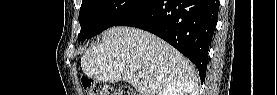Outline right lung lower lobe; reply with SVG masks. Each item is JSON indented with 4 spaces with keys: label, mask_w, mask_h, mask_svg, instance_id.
Returning <instances> with one entry per match:
<instances>
[{
    "label": "right lung lower lobe",
    "mask_w": 277,
    "mask_h": 95,
    "mask_svg": "<svg viewBox=\"0 0 277 95\" xmlns=\"http://www.w3.org/2000/svg\"><path fill=\"white\" fill-rule=\"evenodd\" d=\"M219 0H143L116 26L149 31L167 41L198 68L204 81Z\"/></svg>",
    "instance_id": "1"
}]
</instances>
